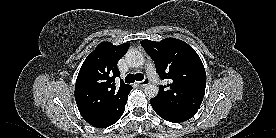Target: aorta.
Returning <instances> with one entry per match:
<instances>
[{"instance_id":"obj_1","label":"aorta","mask_w":276,"mask_h":138,"mask_svg":"<svg viewBox=\"0 0 276 138\" xmlns=\"http://www.w3.org/2000/svg\"><path fill=\"white\" fill-rule=\"evenodd\" d=\"M126 62L128 63L129 66L131 67H140L144 64V57L143 54L136 50V49H130L127 51L125 55ZM144 92L146 96L149 98H154L157 96L159 92V88L155 84H147L145 86Z\"/></svg>"}]
</instances>
